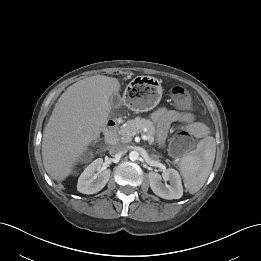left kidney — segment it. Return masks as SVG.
Instances as JSON below:
<instances>
[{
	"instance_id": "1",
	"label": "left kidney",
	"mask_w": 261,
	"mask_h": 261,
	"mask_svg": "<svg viewBox=\"0 0 261 261\" xmlns=\"http://www.w3.org/2000/svg\"><path fill=\"white\" fill-rule=\"evenodd\" d=\"M148 177L150 187L157 196L168 200L182 197L183 186L177 170L173 168L165 170L162 175L165 183H162V177L158 173L150 172ZM167 181H169V184H167Z\"/></svg>"
}]
</instances>
